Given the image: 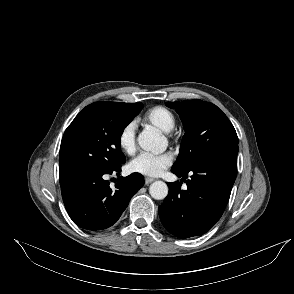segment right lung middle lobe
<instances>
[{
  "label": "right lung middle lobe",
  "mask_w": 294,
  "mask_h": 294,
  "mask_svg": "<svg viewBox=\"0 0 294 294\" xmlns=\"http://www.w3.org/2000/svg\"><path fill=\"white\" fill-rule=\"evenodd\" d=\"M143 104L95 102L86 106L65 130L59 174L112 170L125 163L120 138Z\"/></svg>",
  "instance_id": "right-lung-middle-lobe-1"
}]
</instances>
